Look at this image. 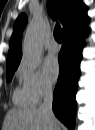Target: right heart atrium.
<instances>
[{
	"mask_svg": "<svg viewBox=\"0 0 95 130\" xmlns=\"http://www.w3.org/2000/svg\"><path fill=\"white\" fill-rule=\"evenodd\" d=\"M23 88L33 104L39 103L52 93L51 82L40 70H32L25 66L19 68Z\"/></svg>",
	"mask_w": 95,
	"mask_h": 130,
	"instance_id": "obj_1",
	"label": "right heart atrium"
}]
</instances>
